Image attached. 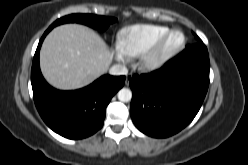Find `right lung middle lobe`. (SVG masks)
Wrapping results in <instances>:
<instances>
[{"label":"right lung middle lobe","instance_id":"dd1d6c3e","mask_svg":"<svg viewBox=\"0 0 248 165\" xmlns=\"http://www.w3.org/2000/svg\"><path fill=\"white\" fill-rule=\"evenodd\" d=\"M117 19L112 17L98 16L92 14H71L56 20L50 27L53 28L63 23L76 22L88 25L92 28L104 31L111 23Z\"/></svg>","mask_w":248,"mask_h":165}]
</instances>
